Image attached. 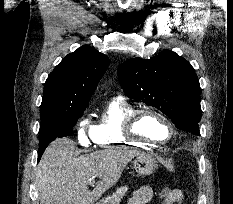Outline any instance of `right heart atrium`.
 Here are the masks:
<instances>
[{
  "instance_id": "1",
  "label": "right heart atrium",
  "mask_w": 233,
  "mask_h": 204,
  "mask_svg": "<svg viewBox=\"0 0 233 204\" xmlns=\"http://www.w3.org/2000/svg\"><path fill=\"white\" fill-rule=\"evenodd\" d=\"M76 137L78 142L84 147H88L92 143H95L94 126L85 116H82L77 122Z\"/></svg>"
}]
</instances>
